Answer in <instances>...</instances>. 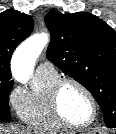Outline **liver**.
I'll return each instance as SVG.
<instances>
[{
  "instance_id": "6515ba94",
  "label": "liver",
  "mask_w": 116,
  "mask_h": 134,
  "mask_svg": "<svg viewBox=\"0 0 116 134\" xmlns=\"http://www.w3.org/2000/svg\"><path fill=\"white\" fill-rule=\"evenodd\" d=\"M0 134H34L29 129L18 128V127H8L4 128L0 126Z\"/></svg>"
}]
</instances>
